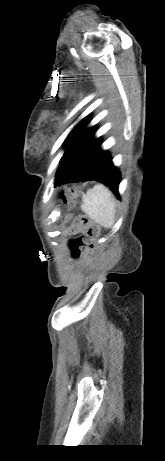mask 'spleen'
<instances>
[{"instance_id": "3e777b00", "label": "spleen", "mask_w": 165, "mask_h": 461, "mask_svg": "<svg viewBox=\"0 0 165 461\" xmlns=\"http://www.w3.org/2000/svg\"><path fill=\"white\" fill-rule=\"evenodd\" d=\"M81 209L92 220L105 228H111L115 222L116 203L110 190L102 185H95L83 196Z\"/></svg>"}]
</instances>
